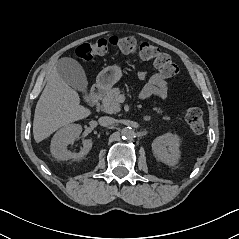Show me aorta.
Here are the masks:
<instances>
[{
	"instance_id": "1",
	"label": "aorta",
	"mask_w": 239,
	"mask_h": 239,
	"mask_svg": "<svg viewBox=\"0 0 239 239\" xmlns=\"http://www.w3.org/2000/svg\"><path fill=\"white\" fill-rule=\"evenodd\" d=\"M121 134L125 139H132L135 135V132L131 127H124L121 130Z\"/></svg>"
}]
</instances>
